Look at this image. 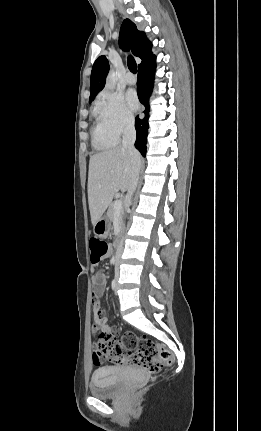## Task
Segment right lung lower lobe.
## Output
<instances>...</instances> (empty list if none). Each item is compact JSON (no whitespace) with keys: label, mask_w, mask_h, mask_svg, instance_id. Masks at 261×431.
<instances>
[{"label":"right lung lower lobe","mask_w":261,"mask_h":431,"mask_svg":"<svg viewBox=\"0 0 261 431\" xmlns=\"http://www.w3.org/2000/svg\"><path fill=\"white\" fill-rule=\"evenodd\" d=\"M155 67L156 64L154 55L138 66V98L145 106V117L143 119H139L138 116L136 117L135 129L137 132V138L135 146L143 156L146 155V143L149 127V97L153 88Z\"/></svg>","instance_id":"1"}]
</instances>
